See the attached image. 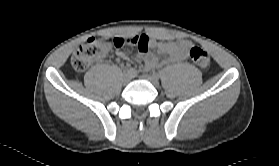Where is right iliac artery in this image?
<instances>
[{
	"label": "right iliac artery",
	"mask_w": 279,
	"mask_h": 166,
	"mask_svg": "<svg viewBox=\"0 0 279 166\" xmlns=\"http://www.w3.org/2000/svg\"><path fill=\"white\" fill-rule=\"evenodd\" d=\"M136 72H137V71H136L134 68H130V69L127 70L126 73H127V74H130L131 76H134V75H136Z\"/></svg>",
	"instance_id": "1"
}]
</instances>
